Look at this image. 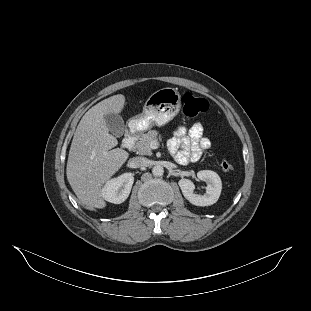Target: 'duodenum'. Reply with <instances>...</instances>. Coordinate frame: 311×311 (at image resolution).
I'll list each match as a JSON object with an SVG mask.
<instances>
[{
	"label": "duodenum",
	"instance_id": "duodenum-1",
	"mask_svg": "<svg viewBox=\"0 0 311 311\" xmlns=\"http://www.w3.org/2000/svg\"><path fill=\"white\" fill-rule=\"evenodd\" d=\"M137 135L138 132L135 129L128 130L124 136L122 147L126 150H131L135 144Z\"/></svg>",
	"mask_w": 311,
	"mask_h": 311
}]
</instances>
